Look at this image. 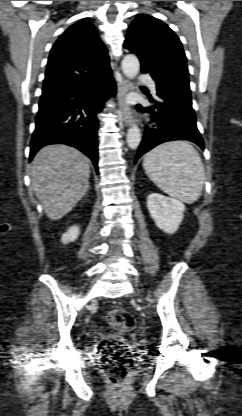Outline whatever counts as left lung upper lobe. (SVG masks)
<instances>
[{
	"mask_svg": "<svg viewBox=\"0 0 242 416\" xmlns=\"http://www.w3.org/2000/svg\"><path fill=\"white\" fill-rule=\"evenodd\" d=\"M124 47L136 54L157 89L191 99L186 56L177 35L162 21L138 15L129 27Z\"/></svg>",
	"mask_w": 242,
	"mask_h": 416,
	"instance_id": "1",
	"label": "left lung upper lobe"
}]
</instances>
